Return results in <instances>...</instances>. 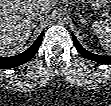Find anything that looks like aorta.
<instances>
[{
	"instance_id": "762f6f07",
	"label": "aorta",
	"mask_w": 111,
	"mask_h": 106,
	"mask_svg": "<svg viewBox=\"0 0 111 106\" xmlns=\"http://www.w3.org/2000/svg\"><path fill=\"white\" fill-rule=\"evenodd\" d=\"M59 19H61V20H63V19H65V15L64 14H59Z\"/></svg>"
}]
</instances>
